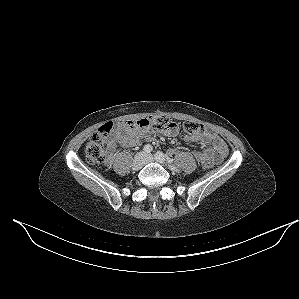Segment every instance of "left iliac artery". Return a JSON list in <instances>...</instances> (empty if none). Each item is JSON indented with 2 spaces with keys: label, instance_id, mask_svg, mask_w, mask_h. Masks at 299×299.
Wrapping results in <instances>:
<instances>
[{
  "label": "left iliac artery",
  "instance_id": "obj_1",
  "mask_svg": "<svg viewBox=\"0 0 299 299\" xmlns=\"http://www.w3.org/2000/svg\"><path fill=\"white\" fill-rule=\"evenodd\" d=\"M155 159L159 162L168 164V166L171 168V170L179 171V169L175 165L172 164L173 159L167 158L162 152H160V151L157 152L155 154Z\"/></svg>",
  "mask_w": 299,
  "mask_h": 299
}]
</instances>
